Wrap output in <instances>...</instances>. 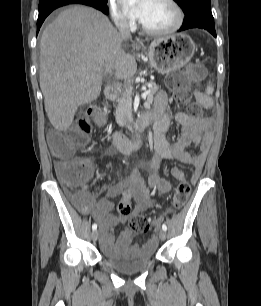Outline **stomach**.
Returning <instances> with one entry per match:
<instances>
[{
  "instance_id": "stomach-1",
  "label": "stomach",
  "mask_w": 261,
  "mask_h": 306,
  "mask_svg": "<svg viewBox=\"0 0 261 306\" xmlns=\"http://www.w3.org/2000/svg\"><path fill=\"white\" fill-rule=\"evenodd\" d=\"M195 50L196 45L190 36L178 33L154 39L144 53L152 68L166 74L189 63Z\"/></svg>"
}]
</instances>
